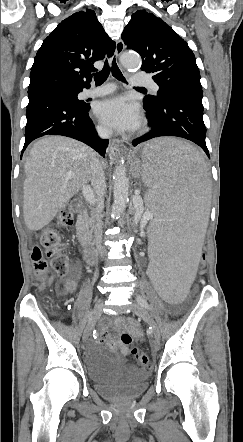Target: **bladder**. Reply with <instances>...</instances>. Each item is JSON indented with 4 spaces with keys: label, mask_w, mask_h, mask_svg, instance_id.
Returning <instances> with one entry per match:
<instances>
[{
    "label": "bladder",
    "mask_w": 243,
    "mask_h": 442,
    "mask_svg": "<svg viewBox=\"0 0 243 442\" xmlns=\"http://www.w3.org/2000/svg\"><path fill=\"white\" fill-rule=\"evenodd\" d=\"M86 370L95 391L111 401H127L139 397L147 388L148 372L106 353L89 356Z\"/></svg>",
    "instance_id": "31cf9c89"
}]
</instances>
